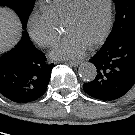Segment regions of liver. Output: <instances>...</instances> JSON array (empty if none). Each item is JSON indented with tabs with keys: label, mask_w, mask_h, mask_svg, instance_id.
I'll return each mask as SVG.
<instances>
[{
	"label": "liver",
	"mask_w": 135,
	"mask_h": 135,
	"mask_svg": "<svg viewBox=\"0 0 135 135\" xmlns=\"http://www.w3.org/2000/svg\"><path fill=\"white\" fill-rule=\"evenodd\" d=\"M20 23L8 8L0 7V54L8 51L18 42Z\"/></svg>",
	"instance_id": "6515ba94"
}]
</instances>
